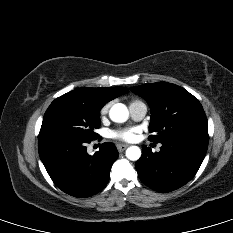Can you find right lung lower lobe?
<instances>
[{
  "label": "right lung lower lobe",
  "instance_id": "obj_1",
  "mask_svg": "<svg viewBox=\"0 0 233 233\" xmlns=\"http://www.w3.org/2000/svg\"><path fill=\"white\" fill-rule=\"evenodd\" d=\"M89 142L61 136L38 141L41 161L52 181L65 193L78 198L90 197L105 187L111 166L119 155L113 143H103L91 156L86 151Z\"/></svg>",
  "mask_w": 233,
  "mask_h": 233
}]
</instances>
